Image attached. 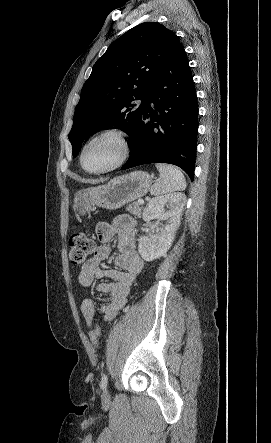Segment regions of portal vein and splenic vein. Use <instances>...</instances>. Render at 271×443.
Returning a JSON list of instances; mask_svg holds the SVG:
<instances>
[{"mask_svg": "<svg viewBox=\"0 0 271 443\" xmlns=\"http://www.w3.org/2000/svg\"><path fill=\"white\" fill-rule=\"evenodd\" d=\"M138 204H144V200H138Z\"/></svg>", "mask_w": 271, "mask_h": 443, "instance_id": "obj_1", "label": "portal vein and splenic vein"}]
</instances>
